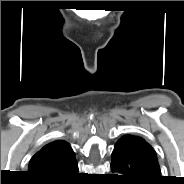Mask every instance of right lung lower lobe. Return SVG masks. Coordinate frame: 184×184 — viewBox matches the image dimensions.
<instances>
[{
	"mask_svg": "<svg viewBox=\"0 0 184 184\" xmlns=\"http://www.w3.org/2000/svg\"><path fill=\"white\" fill-rule=\"evenodd\" d=\"M78 175L76 159L73 158L59 170L45 176L35 177L37 184H71Z\"/></svg>",
	"mask_w": 184,
	"mask_h": 184,
	"instance_id": "right-lung-lower-lobe-1",
	"label": "right lung lower lobe"
}]
</instances>
